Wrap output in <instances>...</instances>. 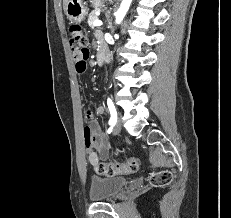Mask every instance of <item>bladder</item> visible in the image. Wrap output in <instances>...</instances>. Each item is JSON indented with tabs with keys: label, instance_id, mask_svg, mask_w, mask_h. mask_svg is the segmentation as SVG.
Masks as SVG:
<instances>
[{
	"label": "bladder",
	"instance_id": "31cf9c89",
	"mask_svg": "<svg viewBox=\"0 0 231 218\" xmlns=\"http://www.w3.org/2000/svg\"><path fill=\"white\" fill-rule=\"evenodd\" d=\"M124 177H92L90 181L89 197L92 201H104L117 196L126 186Z\"/></svg>",
	"mask_w": 231,
	"mask_h": 218
}]
</instances>
